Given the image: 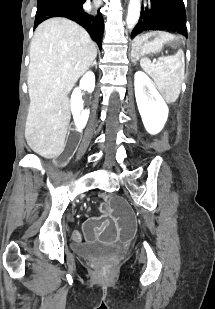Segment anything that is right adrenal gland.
I'll return each mask as SVG.
<instances>
[{"mask_svg":"<svg viewBox=\"0 0 215 309\" xmlns=\"http://www.w3.org/2000/svg\"><path fill=\"white\" fill-rule=\"evenodd\" d=\"M93 64H95V66H97L96 60H94V62H92V66H93Z\"/></svg>","mask_w":215,"mask_h":309,"instance_id":"obj_1","label":"right adrenal gland"}]
</instances>
